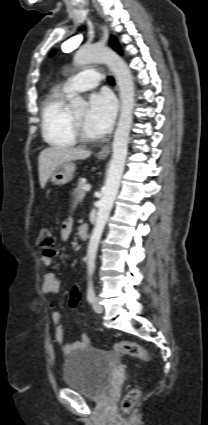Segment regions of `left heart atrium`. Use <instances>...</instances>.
<instances>
[{
  "instance_id": "obj_1",
  "label": "left heart atrium",
  "mask_w": 208,
  "mask_h": 425,
  "mask_svg": "<svg viewBox=\"0 0 208 425\" xmlns=\"http://www.w3.org/2000/svg\"><path fill=\"white\" fill-rule=\"evenodd\" d=\"M116 115V103L107 93L94 94L89 100L85 115V127L94 136L108 133Z\"/></svg>"
}]
</instances>
